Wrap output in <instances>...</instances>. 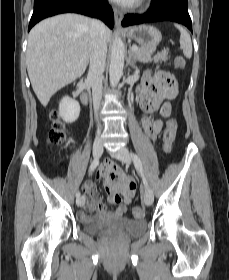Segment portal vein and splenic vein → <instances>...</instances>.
Segmentation results:
<instances>
[{"instance_id":"portal-vein-and-splenic-vein-1","label":"portal vein and splenic vein","mask_w":229,"mask_h":280,"mask_svg":"<svg viewBox=\"0 0 229 280\" xmlns=\"http://www.w3.org/2000/svg\"><path fill=\"white\" fill-rule=\"evenodd\" d=\"M130 51H131L132 53L137 52V51H138V48L133 46V47L130 48Z\"/></svg>"}]
</instances>
